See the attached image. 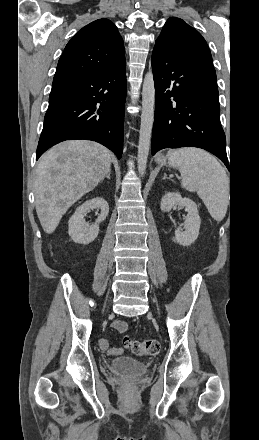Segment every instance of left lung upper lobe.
<instances>
[{
  "mask_svg": "<svg viewBox=\"0 0 259 440\" xmlns=\"http://www.w3.org/2000/svg\"><path fill=\"white\" fill-rule=\"evenodd\" d=\"M155 46L163 47L178 56L201 58L212 63L205 39L180 18L171 17L167 20Z\"/></svg>",
  "mask_w": 259,
  "mask_h": 440,
  "instance_id": "5c2ea615",
  "label": "left lung upper lobe"
}]
</instances>
